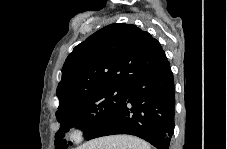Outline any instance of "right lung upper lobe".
I'll return each mask as SVG.
<instances>
[{"mask_svg": "<svg viewBox=\"0 0 227 149\" xmlns=\"http://www.w3.org/2000/svg\"><path fill=\"white\" fill-rule=\"evenodd\" d=\"M167 62L160 43L133 24H111L77 45L62 68L57 87L61 109L110 85L128 87Z\"/></svg>", "mask_w": 227, "mask_h": 149, "instance_id": "right-lung-upper-lobe-1", "label": "right lung upper lobe"}]
</instances>
